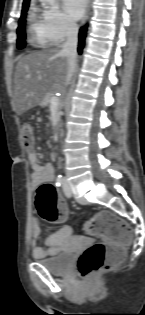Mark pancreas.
Here are the masks:
<instances>
[{
  "label": "pancreas",
  "mask_w": 145,
  "mask_h": 315,
  "mask_svg": "<svg viewBox=\"0 0 145 315\" xmlns=\"http://www.w3.org/2000/svg\"><path fill=\"white\" fill-rule=\"evenodd\" d=\"M51 98H52L51 96H47V97L43 100V104H44V105H49Z\"/></svg>",
  "instance_id": "1"
}]
</instances>
